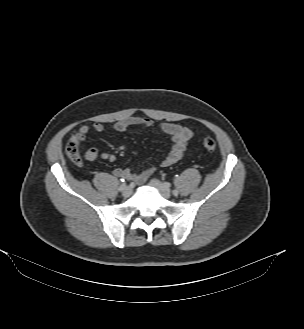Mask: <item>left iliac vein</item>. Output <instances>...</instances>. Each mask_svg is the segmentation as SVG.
<instances>
[{
	"label": "left iliac vein",
	"mask_w": 304,
	"mask_h": 329,
	"mask_svg": "<svg viewBox=\"0 0 304 329\" xmlns=\"http://www.w3.org/2000/svg\"><path fill=\"white\" fill-rule=\"evenodd\" d=\"M150 183L153 187H155L160 192V194L164 198L168 199L172 196V192H171L170 188L167 185H165L164 183L160 182L159 180L152 179Z\"/></svg>",
	"instance_id": "obj_1"
}]
</instances>
